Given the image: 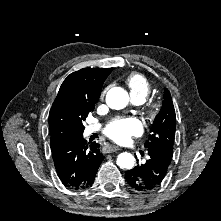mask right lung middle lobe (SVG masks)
Listing matches in <instances>:
<instances>
[{"label": "right lung middle lobe", "mask_w": 221, "mask_h": 221, "mask_svg": "<svg viewBox=\"0 0 221 221\" xmlns=\"http://www.w3.org/2000/svg\"><path fill=\"white\" fill-rule=\"evenodd\" d=\"M93 108L94 107H91V106H88V105L81 106L80 112H79L80 113V115H79V117H80L79 134H82L83 131H84V126L82 124V121H84L86 119V117L88 116V114L90 112H92Z\"/></svg>", "instance_id": "1"}]
</instances>
